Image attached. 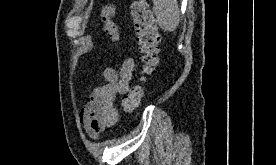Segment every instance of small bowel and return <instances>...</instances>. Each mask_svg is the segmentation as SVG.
<instances>
[{
  "label": "small bowel",
  "instance_id": "1",
  "mask_svg": "<svg viewBox=\"0 0 276 165\" xmlns=\"http://www.w3.org/2000/svg\"><path fill=\"white\" fill-rule=\"evenodd\" d=\"M135 68L134 60L126 59L120 69L107 67L103 72L105 84L96 88L80 110V122L91 138H97L118 120L115 99L129 90Z\"/></svg>",
  "mask_w": 276,
  "mask_h": 165
}]
</instances>
